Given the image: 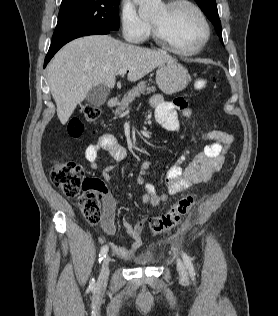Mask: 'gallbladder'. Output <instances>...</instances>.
I'll list each match as a JSON object with an SVG mask.
<instances>
[{"label":"gallbladder","instance_id":"1","mask_svg":"<svg viewBox=\"0 0 278 316\" xmlns=\"http://www.w3.org/2000/svg\"><path fill=\"white\" fill-rule=\"evenodd\" d=\"M109 93L110 90L108 87L104 84H99L89 90L86 96V101L91 106L100 107L106 102Z\"/></svg>","mask_w":278,"mask_h":316}]
</instances>
